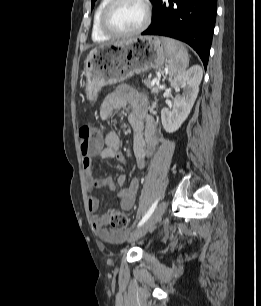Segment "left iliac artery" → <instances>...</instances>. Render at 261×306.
I'll list each match as a JSON object with an SVG mask.
<instances>
[{"instance_id":"obj_1","label":"left iliac artery","mask_w":261,"mask_h":306,"mask_svg":"<svg viewBox=\"0 0 261 306\" xmlns=\"http://www.w3.org/2000/svg\"><path fill=\"white\" fill-rule=\"evenodd\" d=\"M159 199H157L152 206L149 208V210L146 212V214L143 216V218L140 220V222L138 223V227H140L141 225H143L152 215V213L154 212L155 208L157 207Z\"/></svg>"}]
</instances>
